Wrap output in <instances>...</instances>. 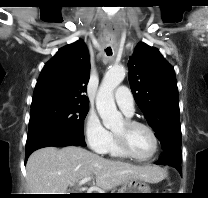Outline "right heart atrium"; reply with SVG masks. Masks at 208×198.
<instances>
[{
	"mask_svg": "<svg viewBox=\"0 0 208 198\" xmlns=\"http://www.w3.org/2000/svg\"><path fill=\"white\" fill-rule=\"evenodd\" d=\"M85 139L94 152L106 153L111 142V133L102 125L100 119L94 112H89L84 120Z\"/></svg>",
	"mask_w": 208,
	"mask_h": 198,
	"instance_id": "1",
	"label": "right heart atrium"
}]
</instances>
